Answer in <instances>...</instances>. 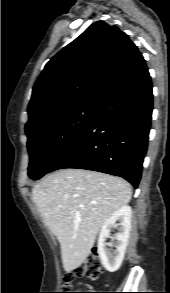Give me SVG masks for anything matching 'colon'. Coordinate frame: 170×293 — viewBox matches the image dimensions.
<instances>
[{
    "mask_svg": "<svg viewBox=\"0 0 170 293\" xmlns=\"http://www.w3.org/2000/svg\"><path fill=\"white\" fill-rule=\"evenodd\" d=\"M101 273L100 255L97 250L91 251L85 262L79 266L73 273L66 274L63 277V283L66 288H71L72 281L75 277H83L86 279H95ZM77 291H83L76 288ZM69 293H90V292H69Z\"/></svg>",
    "mask_w": 170,
    "mask_h": 293,
    "instance_id": "colon-1",
    "label": "colon"
}]
</instances>
